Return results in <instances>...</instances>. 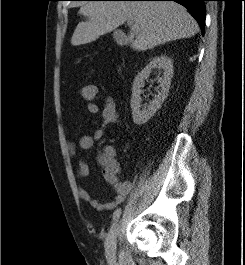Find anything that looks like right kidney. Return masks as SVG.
<instances>
[{"mask_svg": "<svg viewBox=\"0 0 245 265\" xmlns=\"http://www.w3.org/2000/svg\"><path fill=\"white\" fill-rule=\"evenodd\" d=\"M153 69L163 70V76L158 79L160 89L158 94L154 96V99L150 101L148 105H142L141 94L143 93L142 88L144 87V81L149 78ZM172 76V60L165 55L153 58L152 61H150V63L147 64L140 73H138L133 81L132 97L130 102L132 118L135 124H145L161 107L168 95Z\"/></svg>", "mask_w": 245, "mask_h": 265, "instance_id": "right-kidney-1", "label": "right kidney"}]
</instances>
